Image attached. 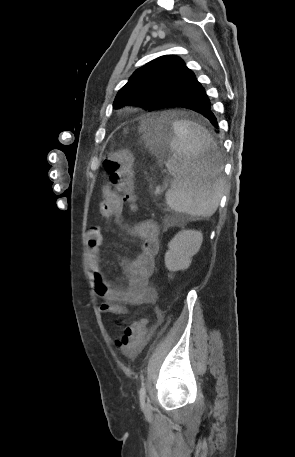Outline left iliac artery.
<instances>
[{"instance_id":"1","label":"left iliac artery","mask_w":295,"mask_h":457,"mask_svg":"<svg viewBox=\"0 0 295 457\" xmlns=\"http://www.w3.org/2000/svg\"><path fill=\"white\" fill-rule=\"evenodd\" d=\"M139 397H140V400H141V401H144L145 398H146V387H145L144 384H142V387H141V389H140Z\"/></svg>"}]
</instances>
